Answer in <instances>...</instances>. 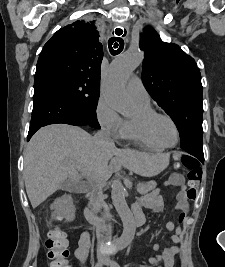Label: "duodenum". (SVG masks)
Wrapping results in <instances>:
<instances>
[{"instance_id": "410a0bca", "label": "duodenum", "mask_w": 225, "mask_h": 267, "mask_svg": "<svg viewBox=\"0 0 225 267\" xmlns=\"http://www.w3.org/2000/svg\"><path fill=\"white\" fill-rule=\"evenodd\" d=\"M134 218L131 221L127 222V226L130 228L139 227L144 223V217L141 213H138L137 210H135L134 207ZM85 215L86 218L90 221H98L99 223L101 220L98 218V216L93 212V210L90 207H86L85 209Z\"/></svg>"}]
</instances>
